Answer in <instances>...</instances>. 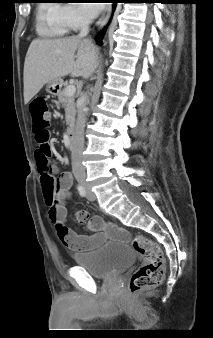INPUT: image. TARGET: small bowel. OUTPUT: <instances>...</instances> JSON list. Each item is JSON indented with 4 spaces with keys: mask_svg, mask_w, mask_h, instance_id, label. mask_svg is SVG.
<instances>
[{
    "mask_svg": "<svg viewBox=\"0 0 213 338\" xmlns=\"http://www.w3.org/2000/svg\"><path fill=\"white\" fill-rule=\"evenodd\" d=\"M43 151H47L50 155H53V151L49 144L39 145ZM72 183V176L69 172H60L57 178V189L60 194L59 203L56 204V224L61 225V229H65L64 232H59L60 241L73 252H87L93 250L96 245L105 240L106 238H115L118 240H124L128 238L127 232L123 228H117L109 224L104 229L103 220L101 217H94L93 221H97L103 224L102 228L92 229L89 222V214L84 210L75 211V218L81 223H88L89 228L93 231L92 235L78 234L64 226L67 219V210L65 208V202L71 197L70 188Z\"/></svg>",
    "mask_w": 213,
    "mask_h": 338,
    "instance_id": "1",
    "label": "small bowel"
}]
</instances>
